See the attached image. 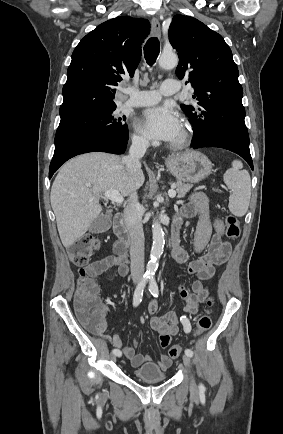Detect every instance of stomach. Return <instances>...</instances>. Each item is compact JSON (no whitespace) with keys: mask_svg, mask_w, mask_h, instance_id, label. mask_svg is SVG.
<instances>
[{"mask_svg":"<svg viewBox=\"0 0 283 434\" xmlns=\"http://www.w3.org/2000/svg\"><path fill=\"white\" fill-rule=\"evenodd\" d=\"M166 166L179 181L188 183H198L212 172L211 161L197 151L170 156L166 160Z\"/></svg>","mask_w":283,"mask_h":434,"instance_id":"obj_1","label":"stomach"}]
</instances>
